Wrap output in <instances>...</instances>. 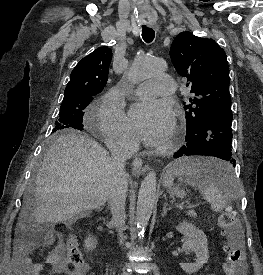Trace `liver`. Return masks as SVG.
Masks as SVG:
<instances>
[{"label": "liver", "mask_w": 263, "mask_h": 275, "mask_svg": "<svg viewBox=\"0 0 263 275\" xmlns=\"http://www.w3.org/2000/svg\"><path fill=\"white\" fill-rule=\"evenodd\" d=\"M111 156L94 139L76 133L56 138L35 182L33 209L25 203L19 223L29 216L39 224L73 222L101 209L109 199Z\"/></svg>", "instance_id": "1"}]
</instances>
